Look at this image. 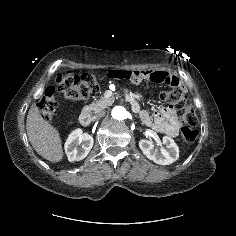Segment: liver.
Segmentation results:
<instances>
[{
	"instance_id": "1",
	"label": "liver",
	"mask_w": 236,
	"mask_h": 236,
	"mask_svg": "<svg viewBox=\"0 0 236 236\" xmlns=\"http://www.w3.org/2000/svg\"><path fill=\"white\" fill-rule=\"evenodd\" d=\"M26 129L30 143L40 156L54 163L63 159L58 131L41 116L35 104L28 111Z\"/></svg>"
}]
</instances>
